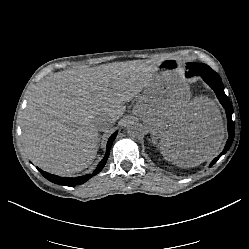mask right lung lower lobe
Masks as SVG:
<instances>
[{
  "label": "right lung lower lobe",
  "mask_w": 249,
  "mask_h": 249,
  "mask_svg": "<svg viewBox=\"0 0 249 249\" xmlns=\"http://www.w3.org/2000/svg\"><path fill=\"white\" fill-rule=\"evenodd\" d=\"M117 135V132L113 133L111 135V137L108 140L107 143V148H106V154L104 156V158L102 159V161L98 164V166L96 167V170L93 171L92 174L89 175H85V176H80V177H75V178H68V177H59L50 173H47L41 169L38 168V170L42 173V175L47 178L49 181L58 184V185H64V186H76L78 184H83L84 182H86L87 180H89L91 177H93L94 175L98 174L104 167L108 156H109V152H110V148L111 145L115 139Z\"/></svg>",
  "instance_id": "98d812e1"
}]
</instances>
